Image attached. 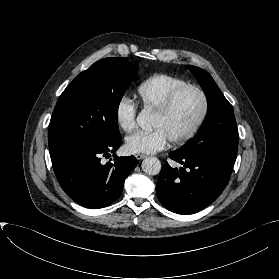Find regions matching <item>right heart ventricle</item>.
I'll list each match as a JSON object with an SVG mask.
<instances>
[{
	"label": "right heart ventricle",
	"mask_w": 279,
	"mask_h": 279,
	"mask_svg": "<svg viewBox=\"0 0 279 279\" xmlns=\"http://www.w3.org/2000/svg\"><path fill=\"white\" fill-rule=\"evenodd\" d=\"M185 84L187 82L179 77L168 74H155L139 84L137 93L142 106L145 109L155 111L174 89Z\"/></svg>",
	"instance_id": "1"
}]
</instances>
